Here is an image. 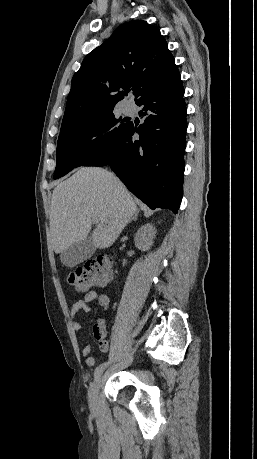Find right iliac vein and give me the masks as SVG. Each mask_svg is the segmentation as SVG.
<instances>
[{
    "instance_id": "right-iliac-vein-1",
    "label": "right iliac vein",
    "mask_w": 257,
    "mask_h": 459,
    "mask_svg": "<svg viewBox=\"0 0 257 459\" xmlns=\"http://www.w3.org/2000/svg\"><path fill=\"white\" fill-rule=\"evenodd\" d=\"M101 386V377H97L91 384L88 391V402L90 407L95 408L97 405L98 393Z\"/></svg>"
}]
</instances>
